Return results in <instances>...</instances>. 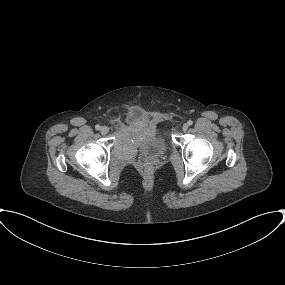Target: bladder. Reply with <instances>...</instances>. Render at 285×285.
Listing matches in <instances>:
<instances>
[{
  "label": "bladder",
  "instance_id": "bladder-1",
  "mask_svg": "<svg viewBox=\"0 0 285 285\" xmlns=\"http://www.w3.org/2000/svg\"><path fill=\"white\" fill-rule=\"evenodd\" d=\"M143 118L141 114L134 112L130 117V126L141 127ZM143 150L153 156L163 154L169 147V141L165 131L157 125L144 126Z\"/></svg>",
  "mask_w": 285,
  "mask_h": 285
}]
</instances>
